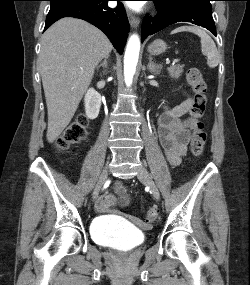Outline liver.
Here are the masks:
<instances>
[{
    "instance_id": "1",
    "label": "liver",
    "mask_w": 250,
    "mask_h": 285,
    "mask_svg": "<svg viewBox=\"0 0 250 285\" xmlns=\"http://www.w3.org/2000/svg\"><path fill=\"white\" fill-rule=\"evenodd\" d=\"M112 48L99 29L79 19H60L43 34L38 63L48 111L49 143L70 123L95 68Z\"/></svg>"
}]
</instances>
